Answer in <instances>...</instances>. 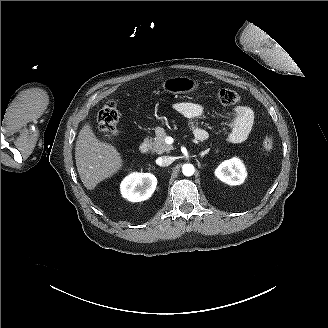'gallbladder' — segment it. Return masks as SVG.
Returning a JSON list of instances; mask_svg holds the SVG:
<instances>
[{
  "label": "gallbladder",
  "mask_w": 328,
  "mask_h": 328,
  "mask_svg": "<svg viewBox=\"0 0 328 328\" xmlns=\"http://www.w3.org/2000/svg\"><path fill=\"white\" fill-rule=\"evenodd\" d=\"M123 134H124V132L119 128H114V129L109 130V135H111V136H120Z\"/></svg>",
  "instance_id": "gallbladder-1"
}]
</instances>
